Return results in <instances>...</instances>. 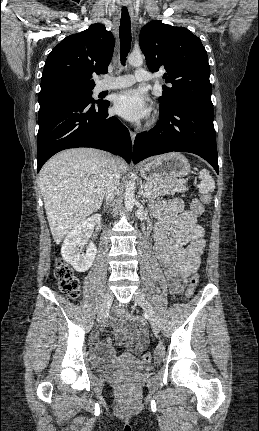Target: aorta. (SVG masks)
Segmentation results:
<instances>
[{
  "label": "aorta",
  "mask_w": 259,
  "mask_h": 431,
  "mask_svg": "<svg viewBox=\"0 0 259 431\" xmlns=\"http://www.w3.org/2000/svg\"><path fill=\"white\" fill-rule=\"evenodd\" d=\"M128 63L134 67H139L143 64V57L141 54H131L128 57ZM124 198L126 210L132 211L135 204V182L133 180L127 182Z\"/></svg>",
  "instance_id": "obj_1"
}]
</instances>
